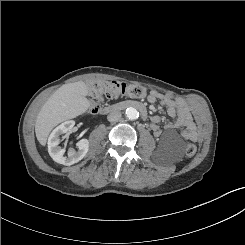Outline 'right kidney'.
<instances>
[{"instance_id":"obj_1","label":"right kidney","mask_w":245,"mask_h":245,"mask_svg":"<svg viewBox=\"0 0 245 245\" xmlns=\"http://www.w3.org/2000/svg\"><path fill=\"white\" fill-rule=\"evenodd\" d=\"M75 122L73 120L65 121L58 127H56L49 136L48 139V152L51 158L63 165H73L80 160H82L88 152L89 149V141L87 139H81L77 143V151L74 148H70L68 150V156H65V149H62L60 144V135L68 133L72 130Z\"/></svg>"}]
</instances>
